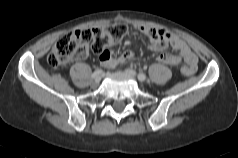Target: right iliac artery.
Returning <instances> with one entry per match:
<instances>
[{
	"label": "right iliac artery",
	"mask_w": 238,
	"mask_h": 158,
	"mask_svg": "<svg viewBox=\"0 0 238 158\" xmlns=\"http://www.w3.org/2000/svg\"><path fill=\"white\" fill-rule=\"evenodd\" d=\"M103 71L101 69H97L96 71H94V73L92 74V78H95L97 76H99L100 74H102Z\"/></svg>",
	"instance_id": "1"
}]
</instances>
